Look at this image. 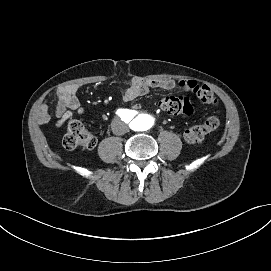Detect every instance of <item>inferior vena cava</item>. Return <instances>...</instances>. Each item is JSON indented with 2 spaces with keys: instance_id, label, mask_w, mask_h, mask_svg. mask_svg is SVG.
I'll list each match as a JSON object with an SVG mask.
<instances>
[{
  "instance_id": "602c4592",
  "label": "inferior vena cava",
  "mask_w": 271,
  "mask_h": 271,
  "mask_svg": "<svg viewBox=\"0 0 271 271\" xmlns=\"http://www.w3.org/2000/svg\"><path fill=\"white\" fill-rule=\"evenodd\" d=\"M111 128L114 134L122 135L125 133L127 126L125 125V123L120 121L119 123H113L111 125Z\"/></svg>"
}]
</instances>
